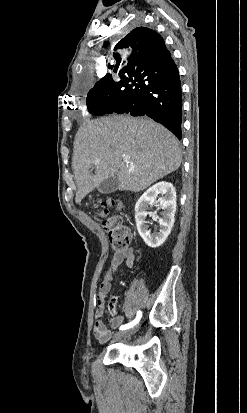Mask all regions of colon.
I'll use <instances>...</instances> for the list:
<instances>
[{
    "label": "colon",
    "mask_w": 247,
    "mask_h": 413,
    "mask_svg": "<svg viewBox=\"0 0 247 413\" xmlns=\"http://www.w3.org/2000/svg\"><path fill=\"white\" fill-rule=\"evenodd\" d=\"M108 206H111V208H118L119 202L114 200L110 204L100 203L98 208H100L101 211L97 215L98 219L100 220L103 229L108 233L110 243L116 250H123L128 244L130 233L127 227L123 224L121 217L105 215Z\"/></svg>",
    "instance_id": "colon-1"
}]
</instances>
